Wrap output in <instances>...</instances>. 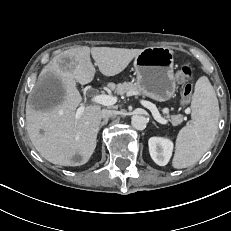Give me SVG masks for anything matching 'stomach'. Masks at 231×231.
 <instances>
[{
	"mask_svg": "<svg viewBox=\"0 0 231 231\" xmlns=\"http://www.w3.org/2000/svg\"><path fill=\"white\" fill-rule=\"evenodd\" d=\"M174 54L166 47H148L135 57L136 86L147 97L167 101L174 96Z\"/></svg>",
	"mask_w": 231,
	"mask_h": 231,
	"instance_id": "stomach-1",
	"label": "stomach"
}]
</instances>
